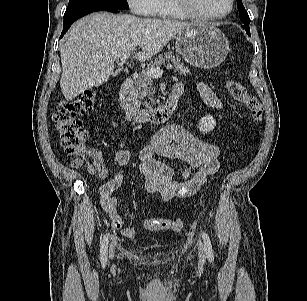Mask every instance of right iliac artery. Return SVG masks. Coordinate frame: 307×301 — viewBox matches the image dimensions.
Returning <instances> with one entry per match:
<instances>
[{"mask_svg":"<svg viewBox=\"0 0 307 301\" xmlns=\"http://www.w3.org/2000/svg\"><path fill=\"white\" fill-rule=\"evenodd\" d=\"M108 242H109V235L106 234L102 241L100 246V260L104 264L107 261V249H108Z\"/></svg>","mask_w":307,"mask_h":301,"instance_id":"obj_1","label":"right iliac artery"}]
</instances>
